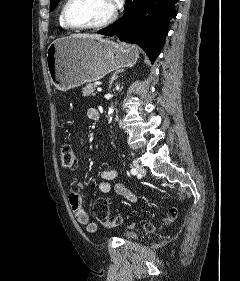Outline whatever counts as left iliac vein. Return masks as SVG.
Masks as SVG:
<instances>
[{
	"label": "left iliac vein",
	"mask_w": 240,
	"mask_h": 281,
	"mask_svg": "<svg viewBox=\"0 0 240 281\" xmlns=\"http://www.w3.org/2000/svg\"><path fill=\"white\" fill-rule=\"evenodd\" d=\"M134 166L137 169L138 175L140 177L145 175L146 171H145V169L141 166V164L138 161H134Z\"/></svg>",
	"instance_id": "left-iliac-vein-1"
}]
</instances>
